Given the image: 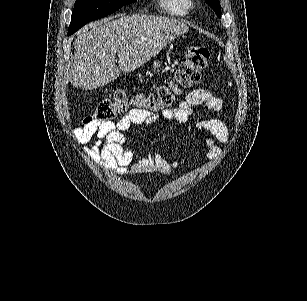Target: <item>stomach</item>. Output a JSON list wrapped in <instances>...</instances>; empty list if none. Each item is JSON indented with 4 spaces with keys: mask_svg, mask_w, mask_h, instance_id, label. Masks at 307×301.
<instances>
[{
    "mask_svg": "<svg viewBox=\"0 0 307 301\" xmlns=\"http://www.w3.org/2000/svg\"><path fill=\"white\" fill-rule=\"evenodd\" d=\"M152 66L153 68H159L161 66V60H153Z\"/></svg>",
    "mask_w": 307,
    "mask_h": 301,
    "instance_id": "0dacf381",
    "label": "stomach"
}]
</instances>
